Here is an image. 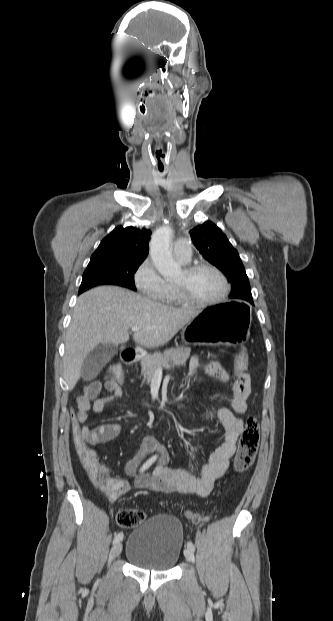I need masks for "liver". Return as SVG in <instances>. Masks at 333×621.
Here are the masks:
<instances>
[{"instance_id": "liver-1", "label": "liver", "mask_w": 333, "mask_h": 621, "mask_svg": "<svg viewBox=\"0 0 333 621\" xmlns=\"http://www.w3.org/2000/svg\"><path fill=\"white\" fill-rule=\"evenodd\" d=\"M199 313L159 304L115 286L83 293L66 333L63 375L68 388L75 387L85 359L99 344H122L129 340L130 328L138 326L141 329L133 340L145 348H156L170 341Z\"/></svg>"}]
</instances>
